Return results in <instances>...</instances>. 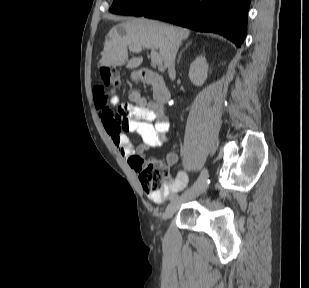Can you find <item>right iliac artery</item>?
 <instances>
[{
  "label": "right iliac artery",
  "instance_id": "right-iliac-artery-1",
  "mask_svg": "<svg viewBox=\"0 0 309 288\" xmlns=\"http://www.w3.org/2000/svg\"><path fill=\"white\" fill-rule=\"evenodd\" d=\"M184 194H186V192ZM177 197H178L177 193H174V192L170 193V200H175V198H177Z\"/></svg>",
  "mask_w": 309,
  "mask_h": 288
}]
</instances>
